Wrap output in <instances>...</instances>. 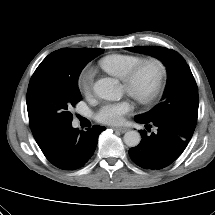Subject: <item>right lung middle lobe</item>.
<instances>
[{
  "label": "right lung middle lobe",
  "instance_id": "obj_1",
  "mask_svg": "<svg viewBox=\"0 0 215 215\" xmlns=\"http://www.w3.org/2000/svg\"><path fill=\"white\" fill-rule=\"evenodd\" d=\"M104 49L63 48L49 54L29 82L27 110L36 140L52 139L71 125V108L81 100L77 86L83 67Z\"/></svg>",
  "mask_w": 215,
  "mask_h": 215
}]
</instances>
